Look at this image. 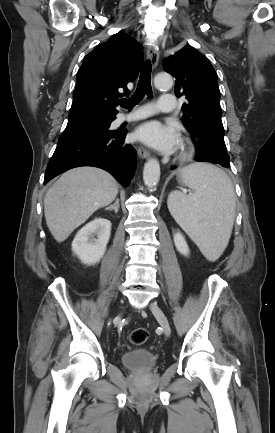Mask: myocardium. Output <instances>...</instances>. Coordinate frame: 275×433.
<instances>
[{"instance_id":"myocardium-1","label":"myocardium","mask_w":275,"mask_h":433,"mask_svg":"<svg viewBox=\"0 0 275 433\" xmlns=\"http://www.w3.org/2000/svg\"><path fill=\"white\" fill-rule=\"evenodd\" d=\"M193 154V147L188 140H182L179 144L178 158L181 161H186L191 158Z\"/></svg>"}]
</instances>
